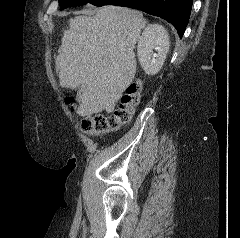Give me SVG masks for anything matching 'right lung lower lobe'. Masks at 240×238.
<instances>
[{
	"label": "right lung lower lobe",
	"instance_id": "right-lung-lower-lobe-1",
	"mask_svg": "<svg viewBox=\"0 0 240 238\" xmlns=\"http://www.w3.org/2000/svg\"><path fill=\"white\" fill-rule=\"evenodd\" d=\"M192 4L193 0H107L96 6H126L159 16L170 22L181 38L189 21Z\"/></svg>",
	"mask_w": 240,
	"mask_h": 238
}]
</instances>
